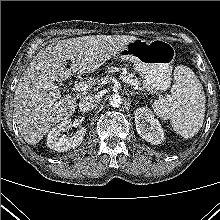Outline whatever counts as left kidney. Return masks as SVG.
I'll list each match as a JSON object with an SVG mask.
<instances>
[{"label": "left kidney", "instance_id": "1", "mask_svg": "<svg viewBox=\"0 0 220 220\" xmlns=\"http://www.w3.org/2000/svg\"><path fill=\"white\" fill-rule=\"evenodd\" d=\"M135 124L137 133L144 140L155 145L161 144L164 141L163 128L159 121L154 118L149 108L140 107L136 109Z\"/></svg>", "mask_w": 220, "mask_h": 220}]
</instances>
